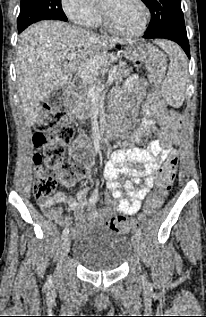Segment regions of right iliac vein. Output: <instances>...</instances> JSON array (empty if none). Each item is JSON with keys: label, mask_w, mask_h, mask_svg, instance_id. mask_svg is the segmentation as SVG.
Returning <instances> with one entry per match:
<instances>
[{"label": "right iliac vein", "mask_w": 206, "mask_h": 317, "mask_svg": "<svg viewBox=\"0 0 206 317\" xmlns=\"http://www.w3.org/2000/svg\"><path fill=\"white\" fill-rule=\"evenodd\" d=\"M70 245H71V240L69 237H66L62 243V246H61L60 259H59V263H58V265L56 267V271H55V275L57 277H59L61 274L62 260L68 254V252L70 250Z\"/></svg>", "instance_id": "right-iliac-vein-1"}]
</instances>
